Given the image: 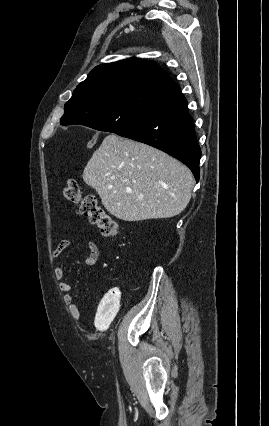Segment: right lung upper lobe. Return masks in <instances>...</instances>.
I'll return each instance as SVG.
<instances>
[{"instance_id": "cb5924a9", "label": "right lung upper lobe", "mask_w": 269, "mask_h": 426, "mask_svg": "<svg viewBox=\"0 0 269 426\" xmlns=\"http://www.w3.org/2000/svg\"><path fill=\"white\" fill-rule=\"evenodd\" d=\"M172 84L174 81L156 62L132 57L95 67L73 93L89 96L119 90L162 92Z\"/></svg>"}]
</instances>
